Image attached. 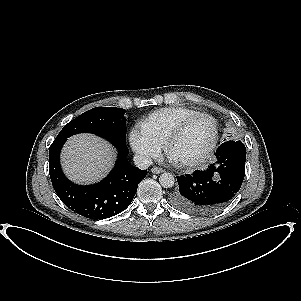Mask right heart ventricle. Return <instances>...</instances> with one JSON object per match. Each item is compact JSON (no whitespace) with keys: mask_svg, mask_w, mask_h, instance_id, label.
Masks as SVG:
<instances>
[{"mask_svg":"<svg viewBox=\"0 0 301 301\" xmlns=\"http://www.w3.org/2000/svg\"><path fill=\"white\" fill-rule=\"evenodd\" d=\"M196 114L197 111L185 107L158 109L141 122V130L158 144H164L168 135L182 121Z\"/></svg>","mask_w":301,"mask_h":301,"instance_id":"obj_1","label":"right heart ventricle"}]
</instances>
